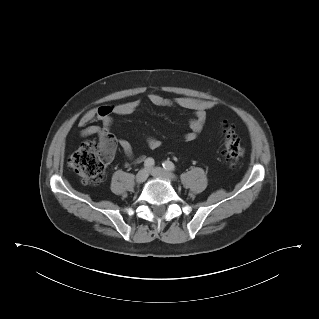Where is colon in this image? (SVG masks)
I'll list each match as a JSON object with an SVG mask.
<instances>
[{
  "label": "colon",
  "instance_id": "obj_1",
  "mask_svg": "<svg viewBox=\"0 0 319 319\" xmlns=\"http://www.w3.org/2000/svg\"><path fill=\"white\" fill-rule=\"evenodd\" d=\"M222 156L231 168H236L244 155V146L234 129L229 124L223 125ZM115 151V141L111 135L99 142H84L71 156L69 166L82 181L89 185H97L103 180L105 167Z\"/></svg>",
  "mask_w": 319,
  "mask_h": 319
}]
</instances>
